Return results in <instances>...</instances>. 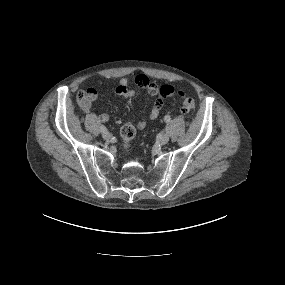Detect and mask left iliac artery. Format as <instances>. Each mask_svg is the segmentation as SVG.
<instances>
[{
	"label": "left iliac artery",
	"instance_id": "44dca946",
	"mask_svg": "<svg viewBox=\"0 0 285 285\" xmlns=\"http://www.w3.org/2000/svg\"><path fill=\"white\" fill-rule=\"evenodd\" d=\"M170 116L169 115H166L165 117H164V120L166 121V122H169L170 121Z\"/></svg>",
	"mask_w": 285,
	"mask_h": 285
}]
</instances>
